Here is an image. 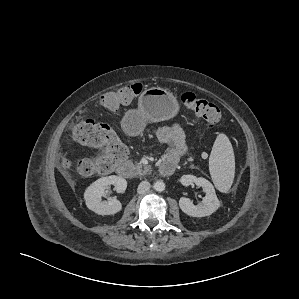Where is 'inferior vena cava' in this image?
Here are the masks:
<instances>
[{"instance_id":"602c4592","label":"inferior vena cava","mask_w":299,"mask_h":299,"mask_svg":"<svg viewBox=\"0 0 299 299\" xmlns=\"http://www.w3.org/2000/svg\"><path fill=\"white\" fill-rule=\"evenodd\" d=\"M150 189V183L148 181H142L137 188L139 194H144Z\"/></svg>"}]
</instances>
